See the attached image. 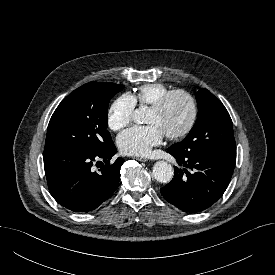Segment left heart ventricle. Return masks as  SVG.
<instances>
[{"label": "left heart ventricle", "mask_w": 275, "mask_h": 275, "mask_svg": "<svg viewBox=\"0 0 275 275\" xmlns=\"http://www.w3.org/2000/svg\"><path fill=\"white\" fill-rule=\"evenodd\" d=\"M190 115L188 101L182 96L172 98L164 110L151 109L147 123L156 124L163 134L181 130L187 123Z\"/></svg>", "instance_id": "obj_1"}]
</instances>
